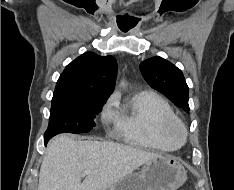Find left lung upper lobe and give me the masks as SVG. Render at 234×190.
Here are the masks:
<instances>
[{
    "instance_id": "5c2ea615",
    "label": "left lung upper lobe",
    "mask_w": 234,
    "mask_h": 190,
    "mask_svg": "<svg viewBox=\"0 0 234 190\" xmlns=\"http://www.w3.org/2000/svg\"><path fill=\"white\" fill-rule=\"evenodd\" d=\"M140 70L151 87L164 94L178 107L189 111V88L179 68L161 57H153L143 61Z\"/></svg>"
}]
</instances>
